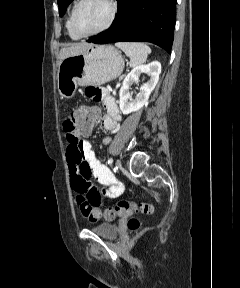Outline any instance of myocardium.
<instances>
[{
	"instance_id": "1",
	"label": "myocardium",
	"mask_w": 240,
	"mask_h": 288,
	"mask_svg": "<svg viewBox=\"0 0 240 288\" xmlns=\"http://www.w3.org/2000/svg\"><path fill=\"white\" fill-rule=\"evenodd\" d=\"M106 1L109 4V8H110V12H109V15H108L106 22L97 30H94V31L89 32V33H80L76 29L75 18H76L78 10L83 5V3L86 2V0H78V2L76 3V5L72 11L71 19H70L71 29L78 37L85 38V37H90L93 35L100 34L104 31H106L113 24L115 17H116V13H117V5H116V2L114 0H106Z\"/></svg>"
}]
</instances>
